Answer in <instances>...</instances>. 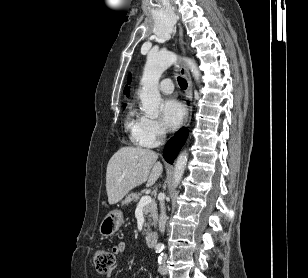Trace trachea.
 <instances>
[{"label": "trachea", "instance_id": "1", "mask_svg": "<svg viewBox=\"0 0 308 278\" xmlns=\"http://www.w3.org/2000/svg\"><path fill=\"white\" fill-rule=\"evenodd\" d=\"M178 84L181 87V89H186L187 88V81L184 78L178 77Z\"/></svg>", "mask_w": 308, "mask_h": 278}]
</instances>
